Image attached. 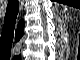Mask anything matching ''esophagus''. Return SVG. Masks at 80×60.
Masks as SVG:
<instances>
[{"label":"esophagus","mask_w":80,"mask_h":60,"mask_svg":"<svg viewBox=\"0 0 80 60\" xmlns=\"http://www.w3.org/2000/svg\"><path fill=\"white\" fill-rule=\"evenodd\" d=\"M19 4H20V10L23 9V1H19Z\"/></svg>","instance_id":"1"}]
</instances>
